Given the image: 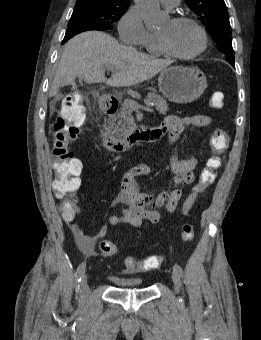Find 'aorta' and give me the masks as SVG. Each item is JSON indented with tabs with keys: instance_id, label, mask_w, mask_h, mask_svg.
Masks as SVG:
<instances>
[{
	"instance_id": "1",
	"label": "aorta",
	"mask_w": 261,
	"mask_h": 340,
	"mask_svg": "<svg viewBox=\"0 0 261 340\" xmlns=\"http://www.w3.org/2000/svg\"><path fill=\"white\" fill-rule=\"evenodd\" d=\"M135 1L147 28H156L166 20L167 16L161 11L159 0Z\"/></svg>"
}]
</instances>
